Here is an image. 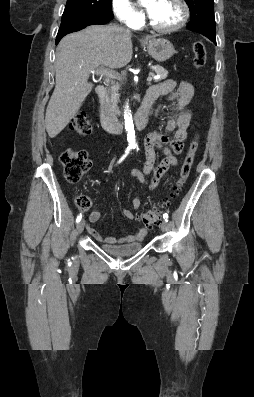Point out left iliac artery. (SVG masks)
I'll list each match as a JSON object with an SVG mask.
<instances>
[{
	"label": "left iliac artery",
	"mask_w": 254,
	"mask_h": 397,
	"mask_svg": "<svg viewBox=\"0 0 254 397\" xmlns=\"http://www.w3.org/2000/svg\"><path fill=\"white\" fill-rule=\"evenodd\" d=\"M163 218H164V220L167 222V221H168V214H167V213H164V214H163Z\"/></svg>",
	"instance_id": "obj_1"
}]
</instances>
